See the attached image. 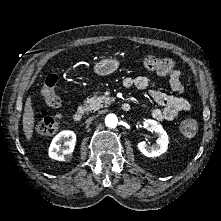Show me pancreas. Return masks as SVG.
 I'll use <instances>...</instances> for the list:
<instances>
[{
	"mask_svg": "<svg viewBox=\"0 0 221 221\" xmlns=\"http://www.w3.org/2000/svg\"><path fill=\"white\" fill-rule=\"evenodd\" d=\"M111 102L109 97L105 96H92L91 98H87L85 101V109L87 111H97L102 108L104 105H108Z\"/></svg>",
	"mask_w": 221,
	"mask_h": 221,
	"instance_id": "1",
	"label": "pancreas"
}]
</instances>
